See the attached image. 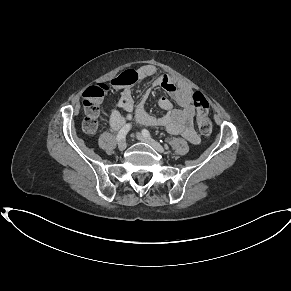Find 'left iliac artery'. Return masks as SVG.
I'll list each match as a JSON object with an SVG mask.
<instances>
[{"label":"left iliac artery","instance_id":"obj_1","mask_svg":"<svg viewBox=\"0 0 291 291\" xmlns=\"http://www.w3.org/2000/svg\"><path fill=\"white\" fill-rule=\"evenodd\" d=\"M142 134H143L144 136H146V137H151V134H150V132H149L147 129H143V130H142Z\"/></svg>","mask_w":291,"mask_h":291}]
</instances>
